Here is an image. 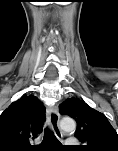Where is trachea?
Instances as JSON below:
<instances>
[{"label": "trachea", "instance_id": "trachea-1", "mask_svg": "<svg viewBox=\"0 0 118 151\" xmlns=\"http://www.w3.org/2000/svg\"><path fill=\"white\" fill-rule=\"evenodd\" d=\"M43 144H52V145H58L59 141L58 139L55 137L54 133L46 128L44 131V137H43Z\"/></svg>", "mask_w": 118, "mask_h": 151}]
</instances>
